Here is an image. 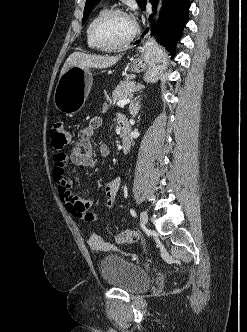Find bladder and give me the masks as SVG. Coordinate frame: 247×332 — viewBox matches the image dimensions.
Returning <instances> with one entry per match:
<instances>
[{
    "label": "bladder",
    "instance_id": "obj_1",
    "mask_svg": "<svg viewBox=\"0 0 247 332\" xmlns=\"http://www.w3.org/2000/svg\"><path fill=\"white\" fill-rule=\"evenodd\" d=\"M100 269L108 285L128 293H141L151 284L150 275L143 267L118 255L104 256L100 261Z\"/></svg>",
    "mask_w": 247,
    "mask_h": 332
}]
</instances>
